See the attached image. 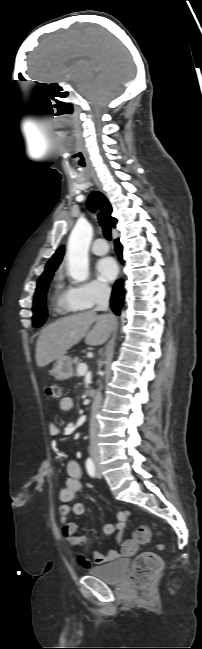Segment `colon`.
I'll use <instances>...</instances> for the list:
<instances>
[{"label": "colon", "mask_w": 202, "mask_h": 649, "mask_svg": "<svg viewBox=\"0 0 202 649\" xmlns=\"http://www.w3.org/2000/svg\"><path fill=\"white\" fill-rule=\"evenodd\" d=\"M45 395L51 399L61 397V388L57 384H48L44 388ZM151 537V528L147 524H142L136 528L133 537L122 545L124 555H131L135 552L138 544H146ZM163 563L161 558L153 552H144L136 557L130 579L137 587H144L152 581L162 570Z\"/></svg>", "instance_id": "obj_1"}]
</instances>
